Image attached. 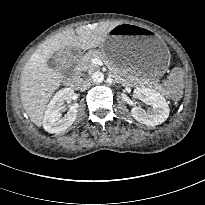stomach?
Here are the masks:
<instances>
[{
  "label": "stomach",
  "mask_w": 205,
  "mask_h": 205,
  "mask_svg": "<svg viewBox=\"0 0 205 205\" xmlns=\"http://www.w3.org/2000/svg\"><path fill=\"white\" fill-rule=\"evenodd\" d=\"M100 49L121 71L140 83L157 81L170 64V52L164 40L137 24L115 26Z\"/></svg>",
  "instance_id": "0dacf381"
}]
</instances>
